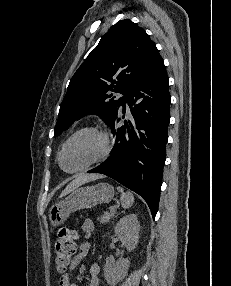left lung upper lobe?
Listing matches in <instances>:
<instances>
[{
  "instance_id": "obj_1",
  "label": "left lung upper lobe",
  "mask_w": 231,
  "mask_h": 286,
  "mask_svg": "<svg viewBox=\"0 0 231 286\" xmlns=\"http://www.w3.org/2000/svg\"><path fill=\"white\" fill-rule=\"evenodd\" d=\"M159 59V51L144 29L129 19L118 21L72 77L54 136L87 114H97L110 125L122 102L110 91L125 94Z\"/></svg>"
}]
</instances>
